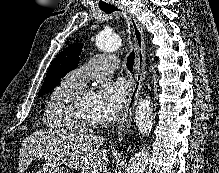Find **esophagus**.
<instances>
[{"mask_svg":"<svg viewBox=\"0 0 219 173\" xmlns=\"http://www.w3.org/2000/svg\"><path fill=\"white\" fill-rule=\"evenodd\" d=\"M117 6L124 12L131 24L136 50L135 74L132 80V89L116 131V140L118 143H121L131 127L134 109L145 79L146 45L143 29L136 17L121 5L118 4Z\"/></svg>","mask_w":219,"mask_h":173,"instance_id":"obj_1","label":"esophagus"}]
</instances>
